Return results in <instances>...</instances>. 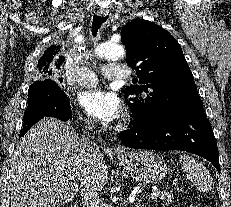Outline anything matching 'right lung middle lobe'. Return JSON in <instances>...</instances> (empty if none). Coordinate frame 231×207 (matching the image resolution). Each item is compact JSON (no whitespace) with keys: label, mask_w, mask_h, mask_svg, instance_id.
Segmentation results:
<instances>
[{"label":"right lung middle lobe","mask_w":231,"mask_h":207,"mask_svg":"<svg viewBox=\"0 0 231 207\" xmlns=\"http://www.w3.org/2000/svg\"><path fill=\"white\" fill-rule=\"evenodd\" d=\"M42 81H36L34 82L28 91V99L31 100L35 96V87H37L39 84H41Z\"/></svg>","instance_id":"1"}]
</instances>
